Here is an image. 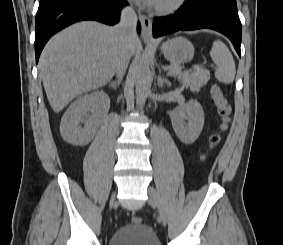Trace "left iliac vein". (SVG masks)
<instances>
[{
    "label": "left iliac vein",
    "mask_w": 283,
    "mask_h": 245,
    "mask_svg": "<svg viewBox=\"0 0 283 245\" xmlns=\"http://www.w3.org/2000/svg\"><path fill=\"white\" fill-rule=\"evenodd\" d=\"M148 197H149V203H151L153 206H155L158 210V221L161 224H166V215H165V211L164 208L162 206L160 197L158 192L155 190L154 187L149 186L148 190Z\"/></svg>",
    "instance_id": "1"
}]
</instances>
